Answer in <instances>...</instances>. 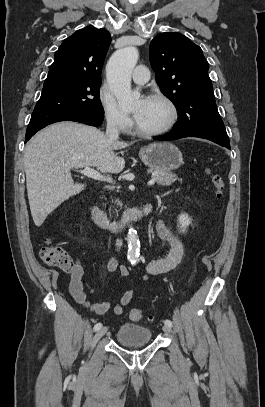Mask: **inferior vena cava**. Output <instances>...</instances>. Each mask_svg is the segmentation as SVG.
Listing matches in <instances>:
<instances>
[{"label":"inferior vena cava","mask_w":265,"mask_h":407,"mask_svg":"<svg viewBox=\"0 0 265 407\" xmlns=\"http://www.w3.org/2000/svg\"><path fill=\"white\" fill-rule=\"evenodd\" d=\"M106 135L111 141H114L119 137L118 124L114 117H108L107 119Z\"/></svg>","instance_id":"obj_1"}]
</instances>
